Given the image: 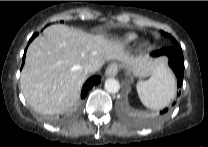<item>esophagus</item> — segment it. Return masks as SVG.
<instances>
[{
    "instance_id": "1",
    "label": "esophagus",
    "mask_w": 208,
    "mask_h": 147,
    "mask_svg": "<svg viewBox=\"0 0 208 147\" xmlns=\"http://www.w3.org/2000/svg\"><path fill=\"white\" fill-rule=\"evenodd\" d=\"M119 71V65L117 63H111L108 65L105 71L106 76H115Z\"/></svg>"
}]
</instances>
